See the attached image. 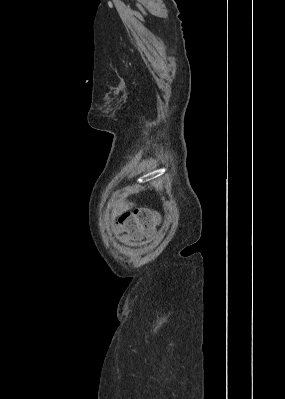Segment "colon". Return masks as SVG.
Returning a JSON list of instances; mask_svg holds the SVG:
<instances>
[{
	"label": "colon",
	"mask_w": 285,
	"mask_h": 399,
	"mask_svg": "<svg viewBox=\"0 0 285 399\" xmlns=\"http://www.w3.org/2000/svg\"><path fill=\"white\" fill-rule=\"evenodd\" d=\"M161 222L159 213L146 209H136L118 217L114 223V231L118 237L138 241L157 229Z\"/></svg>",
	"instance_id": "1"
}]
</instances>
